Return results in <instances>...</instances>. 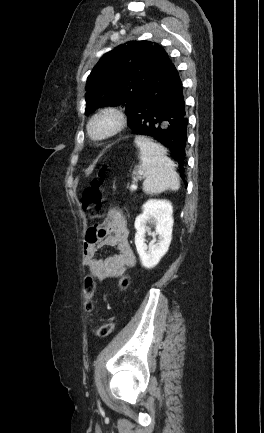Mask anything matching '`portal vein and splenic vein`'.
<instances>
[{
  "mask_svg": "<svg viewBox=\"0 0 264 433\" xmlns=\"http://www.w3.org/2000/svg\"><path fill=\"white\" fill-rule=\"evenodd\" d=\"M136 189H137V186L135 184H133V185L130 186V190L131 191H135Z\"/></svg>",
  "mask_w": 264,
  "mask_h": 433,
  "instance_id": "obj_1",
  "label": "portal vein and splenic vein"
}]
</instances>
